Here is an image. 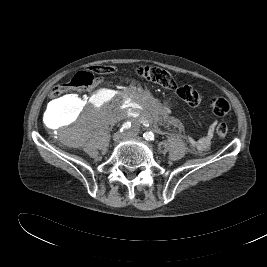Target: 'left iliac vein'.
I'll return each mask as SVG.
<instances>
[{
  "label": "left iliac vein",
  "instance_id": "left-iliac-vein-1",
  "mask_svg": "<svg viewBox=\"0 0 267 267\" xmlns=\"http://www.w3.org/2000/svg\"><path fill=\"white\" fill-rule=\"evenodd\" d=\"M126 136L129 137V138L130 137H134V138L137 137L136 133H134V132H128Z\"/></svg>",
  "mask_w": 267,
  "mask_h": 267
}]
</instances>
